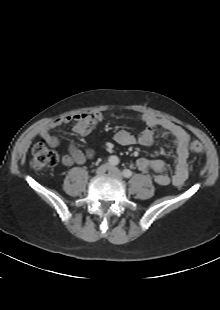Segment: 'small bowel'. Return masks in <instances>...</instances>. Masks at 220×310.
<instances>
[{"label": "small bowel", "mask_w": 220, "mask_h": 310, "mask_svg": "<svg viewBox=\"0 0 220 310\" xmlns=\"http://www.w3.org/2000/svg\"><path fill=\"white\" fill-rule=\"evenodd\" d=\"M147 128L139 135L131 131L120 129L113 135V140L119 145H142L149 146L154 141V129L162 128L169 136L175 146L176 158L174 163V172L172 175L167 173V164L159 159L139 158L136 161L137 168L144 174H151L153 181L165 186L172 183L175 186H181L188 179L190 174L189 150L190 141L189 133L180 125L169 119L160 118L150 114L139 115ZM103 121V115L100 112L78 113L72 116H65L54 119L42 126L39 136L52 147H58L59 139L51 134V131L63 124L72 123L73 132L79 136L89 135L94 128ZM95 153L89 149L85 152L78 149L74 144L68 147V153L61 156V162L65 166L74 164H83L92 159Z\"/></svg>", "instance_id": "small-bowel-1"}]
</instances>
